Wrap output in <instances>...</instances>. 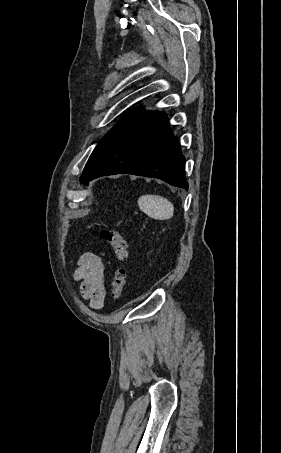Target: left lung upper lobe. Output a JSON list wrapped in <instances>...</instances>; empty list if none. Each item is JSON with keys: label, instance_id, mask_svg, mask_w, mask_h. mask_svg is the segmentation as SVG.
<instances>
[{"label": "left lung upper lobe", "instance_id": "left-lung-upper-lobe-1", "mask_svg": "<svg viewBox=\"0 0 281 453\" xmlns=\"http://www.w3.org/2000/svg\"><path fill=\"white\" fill-rule=\"evenodd\" d=\"M125 119V118H124ZM122 119L121 122L124 120ZM121 122L116 125L100 142L99 144L95 147L93 153L91 154L88 162H90L92 160V158L97 154V152L101 149V147L104 145V143L106 142V140L109 138V136L111 135V133L121 124ZM87 162V163H88Z\"/></svg>", "mask_w": 281, "mask_h": 453}]
</instances>
